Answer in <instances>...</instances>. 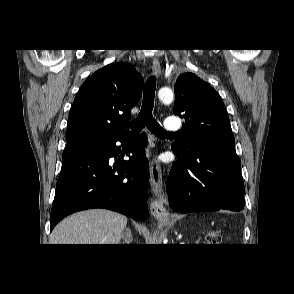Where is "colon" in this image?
<instances>
[{"label": "colon", "mask_w": 294, "mask_h": 294, "mask_svg": "<svg viewBox=\"0 0 294 294\" xmlns=\"http://www.w3.org/2000/svg\"><path fill=\"white\" fill-rule=\"evenodd\" d=\"M219 237L215 230L209 231L205 236V242L209 246H215L218 244Z\"/></svg>", "instance_id": "5ec220e1"}]
</instances>
